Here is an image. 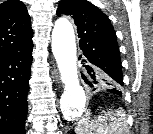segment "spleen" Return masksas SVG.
I'll list each match as a JSON object with an SVG mask.
<instances>
[{"label":"spleen","mask_w":153,"mask_h":134,"mask_svg":"<svg viewBox=\"0 0 153 134\" xmlns=\"http://www.w3.org/2000/svg\"><path fill=\"white\" fill-rule=\"evenodd\" d=\"M75 132L76 134H128L126 112L122 108L109 109L92 120L90 111H87L78 122Z\"/></svg>","instance_id":"1"}]
</instances>
